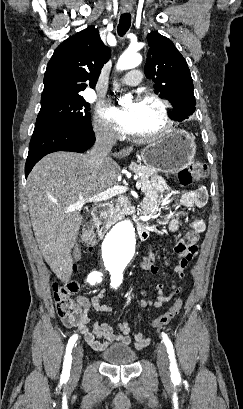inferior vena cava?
<instances>
[{"label":"inferior vena cava","instance_id":"1","mask_svg":"<svg viewBox=\"0 0 243 409\" xmlns=\"http://www.w3.org/2000/svg\"><path fill=\"white\" fill-rule=\"evenodd\" d=\"M95 136V143L85 155V160L97 171L102 168L104 160L108 157L113 145L116 143V137L106 129H97Z\"/></svg>","mask_w":243,"mask_h":409}]
</instances>
